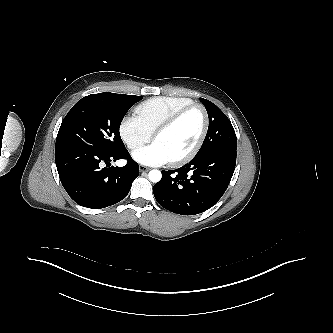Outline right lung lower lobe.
Returning <instances> with one entry per match:
<instances>
[{"mask_svg": "<svg viewBox=\"0 0 333 333\" xmlns=\"http://www.w3.org/2000/svg\"><path fill=\"white\" fill-rule=\"evenodd\" d=\"M119 159H126L127 165L109 167ZM55 162L68 195L77 204L92 209L123 200L139 175V166L126 148L108 154L78 145L57 144ZM104 163L106 167H103Z\"/></svg>", "mask_w": 333, "mask_h": 333, "instance_id": "1", "label": "right lung lower lobe"}]
</instances>
